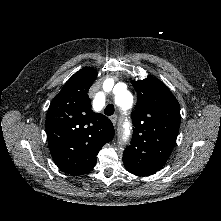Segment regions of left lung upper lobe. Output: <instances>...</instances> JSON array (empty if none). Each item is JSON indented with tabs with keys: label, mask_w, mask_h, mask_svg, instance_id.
Returning <instances> with one entry per match:
<instances>
[{
	"label": "left lung upper lobe",
	"mask_w": 221,
	"mask_h": 221,
	"mask_svg": "<svg viewBox=\"0 0 221 221\" xmlns=\"http://www.w3.org/2000/svg\"><path fill=\"white\" fill-rule=\"evenodd\" d=\"M138 101L132 113L133 138L123 153L125 168L138 176L157 172L167 161L180 127V107L155 77L132 81Z\"/></svg>",
	"instance_id": "5c2ea615"
}]
</instances>
